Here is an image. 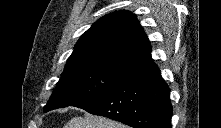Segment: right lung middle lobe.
Returning a JSON list of instances; mask_svg holds the SVG:
<instances>
[{
    "mask_svg": "<svg viewBox=\"0 0 221 128\" xmlns=\"http://www.w3.org/2000/svg\"><path fill=\"white\" fill-rule=\"evenodd\" d=\"M124 77L96 68L64 71L51 98L44 106V112L90 100L113 87Z\"/></svg>",
    "mask_w": 221,
    "mask_h": 128,
    "instance_id": "obj_1",
    "label": "right lung middle lobe"
}]
</instances>
